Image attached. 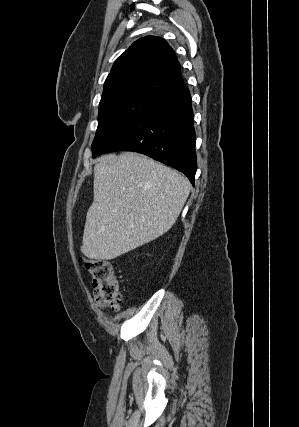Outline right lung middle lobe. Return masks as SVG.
<instances>
[{"mask_svg": "<svg viewBox=\"0 0 299 427\" xmlns=\"http://www.w3.org/2000/svg\"><path fill=\"white\" fill-rule=\"evenodd\" d=\"M153 102L139 96H117L100 101L98 127L92 143L93 156L126 131Z\"/></svg>", "mask_w": 299, "mask_h": 427, "instance_id": "1", "label": "right lung middle lobe"}]
</instances>
